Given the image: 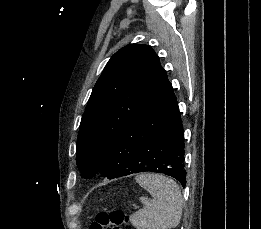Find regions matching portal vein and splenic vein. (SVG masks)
<instances>
[{
	"label": "portal vein and splenic vein",
	"mask_w": 261,
	"mask_h": 229,
	"mask_svg": "<svg viewBox=\"0 0 261 229\" xmlns=\"http://www.w3.org/2000/svg\"><path fill=\"white\" fill-rule=\"evenodd\" d=\"M131 207H132V208H136V207H137V204H136V203H132V204H131Z\"/></svg>",
	"instance_id": "obj_1"
}]
</instances>
